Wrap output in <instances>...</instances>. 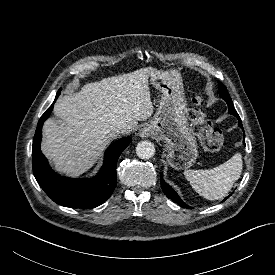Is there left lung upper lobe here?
I'll return each mask as SVG.
<instances>
[{"label":"left lung upper lobe","mask_w":275,"mask_h":275,"mask_svg":"<svg viewBox=\"0 0 275 275\" xmlns=\"http://www.w3.org/2000/svg\"><path fill=\"white\" fill-rule=\"evenodd\" d=\"M219 89L222 98L230 97L224 84L219 82Z\"/></svg>","instance_id":"obj_1"}]
</instances>
